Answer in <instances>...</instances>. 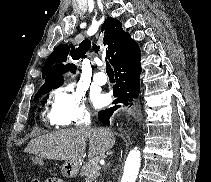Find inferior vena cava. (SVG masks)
<instances>
[{
	"instance_id": "602c4592",
	"label": "inferior vena cava",
	"mask_w": 211,
	"mask_h": 182,
	"mask_svg": "<svg viewBox=\"0 0 211 182\" xmlns=\"http://www.w3.org/2000/svg\"><path fill=\"white\" fill-rule=\"evenodd\" d=\"M89 120H90V116L86 114L83 119V123L81 127H83V131H91V134H96V126H88Z\"/></svg>"
}]
</instances>
